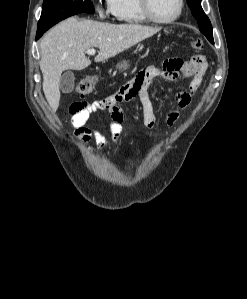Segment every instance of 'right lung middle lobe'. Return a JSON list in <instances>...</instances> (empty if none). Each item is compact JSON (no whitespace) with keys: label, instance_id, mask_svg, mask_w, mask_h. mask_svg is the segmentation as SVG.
<instances>
[{"label":"right lung middle lobe","instance_id":"dd1d6c3e","mask_svg":"<svg viewBox=\"0 0 247 299\" xmlns=\"http://www.w3.org/2000/svg\"><path fill=\"white\" fill-rule=\"evenodd\" d=\"M79 13L93 14L92 2L90 0H44L36 37H41L59 21Z\"/></svg>","mask_w":247,"mask_h":299}]
</instances>
